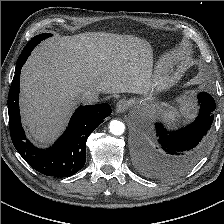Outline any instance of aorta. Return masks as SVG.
<instances>
[{"label":"aorta","instance_id":"762f6f07","mask_svg":"<svg viewBox=\"0 0 224 224\" xmlns=\"http://www.w3.org/2000/svg\"><path fill=\"white\" fill-rule=\"evenodd\" d=\"M110 132L113 135H122L125 131V125L121 121L112 120L109 125Z\"/></svg>","mask_w":224,"mask_h":224}]
</instances>
